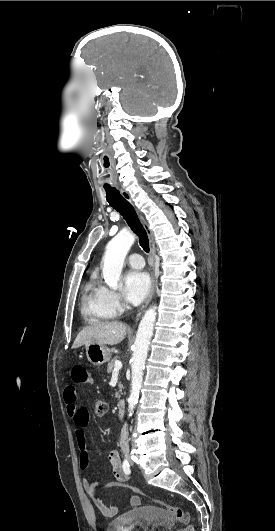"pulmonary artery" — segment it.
Returning a JSON list of instances; mask_svg holds the SVG:
<instances>
[{
  "label": "pulmonary artery",
  "instance_id": "obj_1",
  "mask_svg": "<svg viewBox=\"0 0 275 531\" xmlns=\"http://www.w3.org/2000/svg\"><path fill=\"white\" fill-rule=\"evenodd\" d=\"M126 262L131 266H136L138 268H141L144 266V261L142 256L138 254H133L132 256H129L128 259H126Z\"/></svg>",
  "mask_w": 275,
  "mask_h": 531
}]
</instances>
